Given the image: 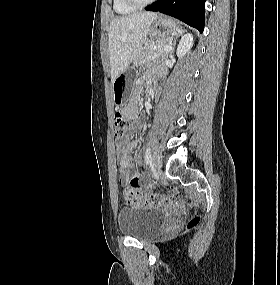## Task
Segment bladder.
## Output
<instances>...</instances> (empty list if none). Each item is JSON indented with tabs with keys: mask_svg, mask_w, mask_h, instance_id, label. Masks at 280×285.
Listing matches in <instances>:
<instances>
[{
	"mask_svg": "<svg viewBox=\"0 0 280 285\" xmlns=\"http://www.w3.org/2000/svg\"><path fill=\"white\" fill-rule=\"evenodd\" d=\"M117 222L121 234L136 239H148L161 230L164 215L156 208L123 207L119 210Z\"/></svg>",
	"mask_w": 280,
	"mask_h": 285,
	"instance_id": "1",
	"label": "bladder"
}]
</instances>
